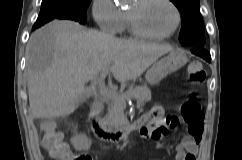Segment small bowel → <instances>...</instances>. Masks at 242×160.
Masks as SVG:
<instances>
[{"label": "small bowel", "instance_id": "1", "mask_svg": "<svg viewBox=\"0 0 242 160\" xmlns=\"http://www.w3.org/2000/svg\"><path fill=\"white\" fill-rule=\"evenodd\" d=\"M154 120L149 123L147 128L141 130L142 138L149 140L154 137L153 134L155 131L164 134L169 129H174L179 124V119L177 117H168L164 119L162 113L157 112L153 114ZM147 119L145 120V122ZM162 125V126H160ZM203 127L196 134H189L186 136L183 141L176 147V160H197L198 147L202 141ZM69 155L67 160H74L75 156L70 151L69 146Z\"/></svg>", "mask_w": 242, "mask_h": 160}]
</instances>
